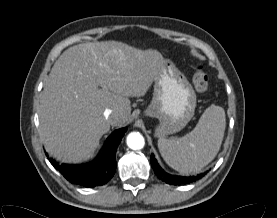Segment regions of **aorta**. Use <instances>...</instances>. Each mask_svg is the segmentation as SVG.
Here are the masks:
<instances>
[{
	"label": "aorta",
	"instance_id": "762f6f07",
	"mask_svg": "<svg viewBox=\"0 0 277 218\" xmlns=\"http://www.w3.org/2000/svg\"><path fill=\"white\" fill-rule=\"evenodd\" d=\"M127 145L132 150H140L145 145L144 137L139 132H131L127 136Z\"/></svg>",
	"mask_w": 277,
	"mask_h": 218
}]
</instances>
